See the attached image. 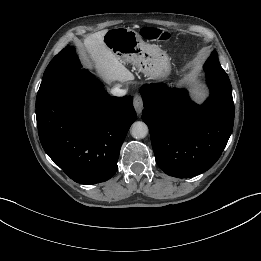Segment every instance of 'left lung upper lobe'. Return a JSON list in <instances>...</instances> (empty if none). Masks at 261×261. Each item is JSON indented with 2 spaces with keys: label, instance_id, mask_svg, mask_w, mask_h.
<instances>
[{
  "label": "left lung upper lobe",
  "instance_id": "1",
  "mask_svg": "<svg viewBox=\"0 0 261 261\" xmlns=\"http://www.w3.org/2000/svg\"><path fill=\"white\" fill-rule=\"evenodd\" d=\"M211 57L218 58L217 53L214 51Z\"/></svg>",
  "mask_w": 261,
  "mask_h": 261
}]
</instances>
